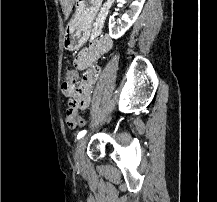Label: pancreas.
I'll list each match as a JSON object with an SVG mask.
<instances>
[{"instance_id":"obj_1","label":"pancreas","mask_w":217,"mask_h":202,"mask_svg":"<svg viewBox=\"0 0 217 202\" xmlns=\"http://www.w3.org/2000/svg\"><path fill=\"white\" fill-rule=\"evenodd\" d=\"M99 35H101V30H93L92 33L90 34L89 40L94 41L95 38H98Z\"/></svg>"}]
</instances>
